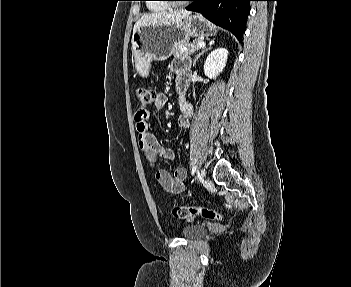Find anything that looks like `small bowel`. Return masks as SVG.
<instances>
[{
  "label": "small bowel",
  "mask_w": 351,
  "mask_h": 287,
  "mask_svg": "<svg viewBox=\"0 0 351 287\" xmlns=\"http://www.w3.org/2000/svg\"><path fill=\"white\" fill-rule=\"evenodd\" d=\"M171 71L177 77L178 88L183 91L186 84V76L189 70L188 62L184 59H176L171 64ZM168 98L164 93H157L153 102V110L160 111L167 104ZM181 115L178 123L182 128L189 126V121L193 113L192 105L186 100L183 94L178 99ZM151 111L138 109L135 113L136 131L138 141L143 151L146 161L151 168L156 169L159 158L173 159L175 154L173 149L163 147L157 138L150 132L148 119ZM186 170L177 167L173 174L165 169H156L155 177L160 185L170 193H180L185 189Z\"/></svg>",
  "instance_id": "obj_1"
}]
</instances>
